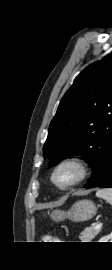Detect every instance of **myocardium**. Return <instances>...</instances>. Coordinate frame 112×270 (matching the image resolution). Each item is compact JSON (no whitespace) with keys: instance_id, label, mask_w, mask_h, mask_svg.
I'll use <instances>...</instances> for the list:
<instances>
[{"instance_id":"1","label":"myocardium","mask_w":112,"mask_h":270,"mask_svg":"<svg viewBox=\"0 0 112 270\" xmlns=\"http://www.w3.org/2000/svg\"><path fill=\"white\" fill-rule=\"evenodd\" d=\"M66 168L75 170V177L65 184L57 181V175ZM90 166L86 159L79 155H69L60 159L50 173L51 184L59 191H68L83 183L90 175Z\"/></svg>"}]
</instances>
